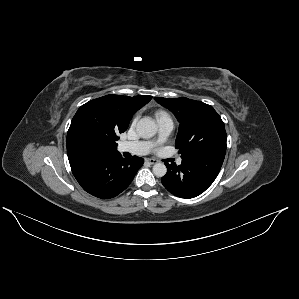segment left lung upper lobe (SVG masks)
I'll return each instance as SVG.
<instances>
[{
  "mask_svg": "<svg viewBox=\"0 0 299 299\" xmlns=\"http://www.w3.org/2000/svg\"><path fill=\"white\" fill-rule=\"evenodd\" d=\"M154 99L180 122L175 147L182 158L198 152H226L224 123L212 106L185 97Z\"/></svg>",
  "mask_w": 299,
  "mask_h": 299,
  "instance_id": "5c2ea615",
  "label": "left lung upper lobe"
}]
</instances>
